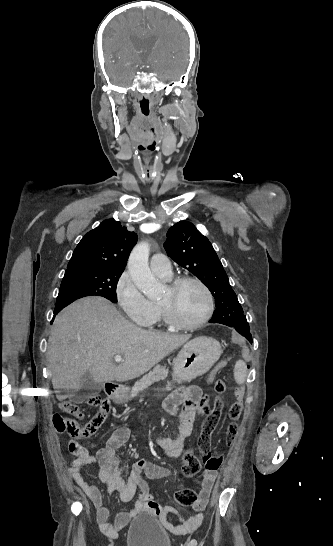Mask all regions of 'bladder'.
<instances>
[{
    "instance_id": "bladder-1",
    "label": "bladder",
    "mask_w": 333,
    "mask_h": 546,
    "mask_svg": "<svg viewBox=\"0 0 333 546\" xmlns=\"http://www.w3.org/2000/svg\"><path fill=\"white\" fill-rule=\"evenodd\" d=\"M127 546H171L169 535L152 514L137 516L127 532Z\"/></svg>"
}]
</instances>
